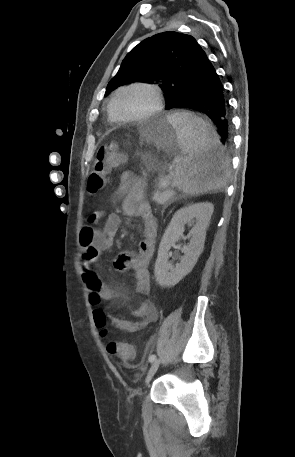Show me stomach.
I'll return each mask as SVG.
<instances>
[{
	"mask_svg": "<svg viewBox=\"0 0 295 457\" xmlns=\"http://www.w3.org/2000/svg\"><path fill=\"white\" fill-rule=\"evenodd\" d=\"M141 136L145 143L158 148H176L178 144L177 132L168 117L156 118L146 123L141 129Z\"/></svg>",
	"mask_w": 295,
	"mask_h": 457,
	"instance_id": "0dacf381",
	"label": "stomach"
}]
</instances>
